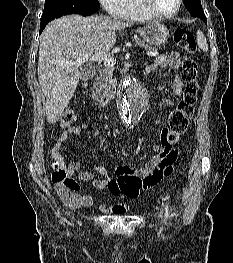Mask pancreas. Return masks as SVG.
<instances>
[{
    "mask_svg": "<svg viewBox=\"0 0 233 263\" xmlns=\"http://www.w3.org/2000/svg\"><path fill=\"white\" fill-rule=\"evenodd\" d=\"M135 44L140 47H144L145 50L156 51V49H152L140 39H136ZM98 71L99 76H97L95 82L93 83L92 99L99 101L100 103H104L105 100L108 99L114 91V84L111 83L114 68L109 65H105L99 68Z\"/></svg>",
    "mask_w": 233,
    "mask_h": 263,
    "instance_id": "obj_1",
    "label": "pancreas"
}]
</instances>
